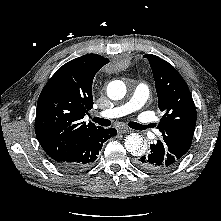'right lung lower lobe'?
<instances>
[{
  "label": "right lung lower lobe",
  "instance_id": "obj_1",
  "mask_svg": "<svg viewBox=\"0 0 221 221\" xmlns=\"http://www.w3.org/2000/svg\"><path fill=\"white\" fill-rule=\"evenodd\" d=\"M115 128L102 127L93 131L88 137L54 160L55 164L68 171H80L94 164L103 143L115 136Z\"/></svg>",
  "mask_w": 221,
  "mask_h": 221
}]
</instances>
